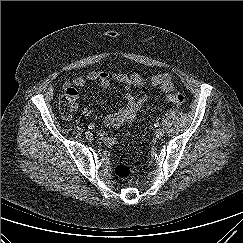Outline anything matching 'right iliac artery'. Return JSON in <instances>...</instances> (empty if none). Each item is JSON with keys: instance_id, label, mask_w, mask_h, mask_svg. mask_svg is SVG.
Returning a JSON list of instances; mask_svg holds the SVG:
<instances>
[{"instance_id": "82829eb1", "label": "right iliac artery", "mask_w": 243, "mask_h": 243, "mask_svg": "<svg viewBox=\"0 0 243 243\" xmlns=\"http://www.w3.org/2000/svg\"><path fill=\"white\" fill-rule=\"evenodd\" d=\"M93 128H95V126H94L93 124H90V125L88 126V129H93Z\"/></svg>"}]
</instances>
